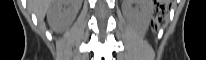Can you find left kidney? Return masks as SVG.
Listing matches in <instances>:
<instances>
[{"label":"left kidney","instance_id":"obj_1","mask_svg":"<svg viewBox=\"0 0 206 60\" xmlns=\"http://www.w3.org/2000/svg\"><path fill=\"white\" fill-rule=\"evenodd\" d=\"M136 2L138 4V9H133L130 4L131 0H125L123 12L131 22L145 31L151 20L153 2L152 0H136Z\"/></svg>","mask_w":206,"mask_h":60}]
</instances>
